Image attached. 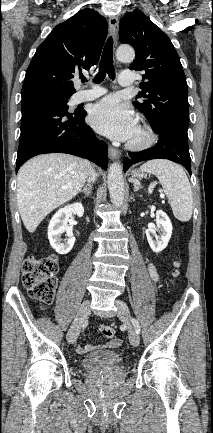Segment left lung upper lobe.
<instances>
[{
	"label": "left lung upper lobe",
	"mask_w": 213,
	"mask_h": 433,
	"mask_svg": "<svg viewBox=\"0 0 213 433\" xmlns=\"http://www.w3.org/2000/svg\"><path fill=\"white\" fill-rule=\"evenodd\" d=\"M121 43L132 45L136 58L131 70L142 71V91L135 108L148 116L152 129L164 122L188 128V89L179 56L169 37L143 12L134 10L121 20Z\"/></svg>",
	"instance_id": "obj_1"
}]
</instances>
